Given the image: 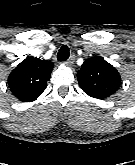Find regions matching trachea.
<instances>
[{"mask_svg":"<svg viewBox=\"0 0 135 165\" xmlns=\"http://www.w3.org/2000/svg\"><path fill=\"white\" fill-rule=\"evenodd\" d=\"M69 55H70V53H69V48H68V46L63 45V46L60 48V50H59V52H58V54H57V59H58L59 61H66V60L69 58Z\"/></svg>","mask_w":135,"mask_h":165,"instance_id":"1","label":"trachea"}]
</instances>
